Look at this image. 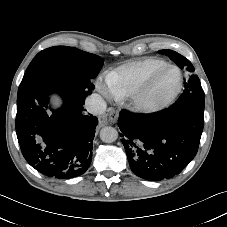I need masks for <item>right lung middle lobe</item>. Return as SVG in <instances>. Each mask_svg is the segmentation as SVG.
Returning a JSON list of instances; mask_svg holds the SVG:
<instances>
[{
	"mask_svg": "<svg viewBox=\"0 0 227 227\" xmlns=\"http://www.w3.org/2000/svg\"><path fill=\"white\" fill-rule=\"evenodd\" d=\"M103 59L74 47L54 46L39 52L29 64L18 89L20 96L46 83H68L94 88L91 80Z\"/></svg>",
	"mask_w": 227,
	"mask_h": 227,
	"instance_id": "dd1d6c3e",
	"label": "right lung middle lobe"
}]
</instances>
